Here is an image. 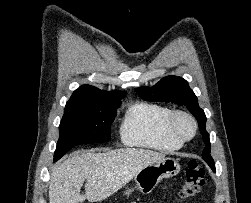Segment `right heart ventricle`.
Segmentation results:
<instances>
[{
	"mask_svg": "<svg viewBox=\"0 0 251 203\" xmlns=\"http://www.w3.org/2000/svg\"><path fill=\"white\" fill-rule=\"evenodd\" d=\"M173 110L167 106L139 102L126 111L120 125V139L127 146L158 151H174L183 142L168 131V121Z\"/></svg>",
	"mask_w": 251,
	"mask_h": 203,
	"instance_id": "e07e8e85",
	"label": "right heart ventricle"
}]
</instances>
